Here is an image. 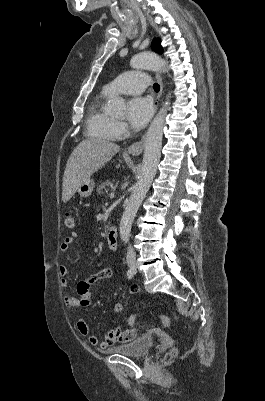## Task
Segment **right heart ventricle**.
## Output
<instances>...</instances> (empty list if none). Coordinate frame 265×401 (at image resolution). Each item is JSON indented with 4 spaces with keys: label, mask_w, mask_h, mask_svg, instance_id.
Instances as JSON below:
<instances>
[{
    "label": "right heart ventricle",
    "mask_w": 265,
    "mask_h": 401,
    "mask_svg": "<svg viewBox=\"0 0 265 401\" xmlns=\"http://www.w3.org/2000/svg\"><path fill=\"white\" fill-rule=\"evenodd\" d=\"M106 87V86H105ZM91 95L87 107L86 128L90 136L104 141H113L119 137L115 133V119L107 111L108 99L112 96L106 88Z\"/></svg>",
    "instance_id": "obj_1"
}]
</instances>
